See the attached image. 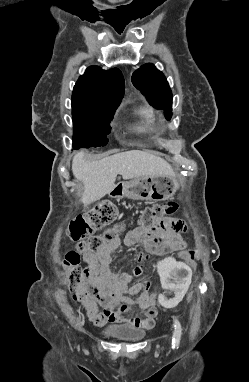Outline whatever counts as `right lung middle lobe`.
Listing matches in <instances>:
<instances>
[{
	"label": "right lung middle lobe",
	"instance_id": "dd1d6c3e",
	"mask_svg": "<svg viewBox=\"0 0 249 382\" xmlns=\"http://www.w3.org/2000/svg\"><path fill=\"white\" fill-rule=\"evenodd\" d=\"M115 108L107 105H86L73 109V147H99L107 144L110 122Z\"/></svg>",
	"mask_w": 249,
	"mask_h": 382
}]
</instances>
